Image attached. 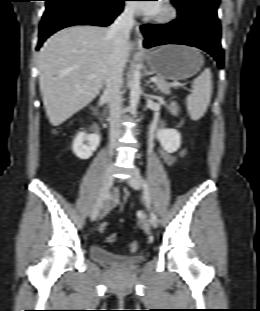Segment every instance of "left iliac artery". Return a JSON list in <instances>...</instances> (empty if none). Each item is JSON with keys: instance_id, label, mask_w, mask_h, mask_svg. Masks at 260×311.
I'll return each instance as SVG.
<instances>
[{"instance_id": "obj_1", "label": "left iliac artery", "mask_w": 260, "mask_h": 311, "mask_svg": "<svg viewBox=\"0 0 260 311\" xmlns=\"http://www.w3.org/2000/svg\"><path fill=\"white\" fill-rule=\"evenodd\" d=\"M142 184H143V189H144V198L146 200V203L148 206H150V197H149V191H148V185L143 178H141Z\"/></svg>"}]
</instances>
